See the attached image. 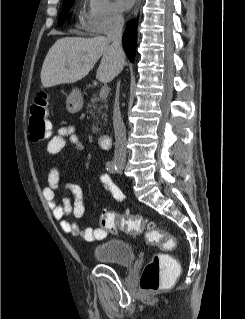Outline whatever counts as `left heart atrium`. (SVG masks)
Instances as JSON below:
<instances>
[{
  "label": "left heart atrium",
  "instance_id": "1",
  "mask_svg": "<svg viewBox=\"0 0 245 319\" xmlns=\"http://www.w3.org/2000/svg\"><path fill=\"white\" fill-rule=\"evenodd\" d=\"M135 0H117V4L120 9L128 10L132 7Z\"/></svg>",
  "mask_w": 245,
  "mask_h": 319
}]
</instances>
